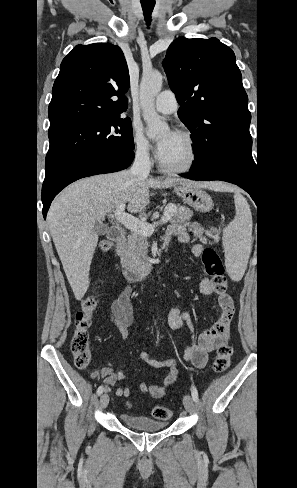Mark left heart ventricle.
I'll list each match as a JSON object with an SVG mask.
<instances>
[{
  "mask_svg": "<svg viewBox=\"0 0 297 488\" xmlns=\"http://www.w3.org/2000/svg\"><path fill=\"white\" fill-rule=\"evenodd\" d=\"M167 133H163L160 136V140L164 138ZM190 155L188 143L176 134L171 138L164 150L159 153L161 160L165 164L173 167L185 165L189 161Z\"/></svg>",
  "mask_w": 297,
  "mask_h": 488,
  "instance_id": "1",
  "label": "left heart ventricle"
}]
</instances>
